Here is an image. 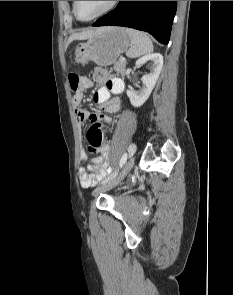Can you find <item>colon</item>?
<instances>
[{"label": "colon", "instance_id": "obj_1", "mask_svg": "<svg viewBox=\"0 0 233 295\" xmlns=\"http://www.w3.org/2000/svg\"><path fill=\"white\" fill-rule=\"evenodd\" d=\"M69 82L72 92L75 94L83 93L91 87V81L81 77L76 73L69 76ZM88 149L91 153L97 154L102 149V131L98 126H91L87 132Z\"/></svg>", "mask_w": 233, "mask_h": 295}]
</instances>
